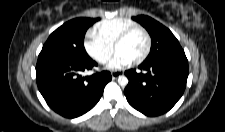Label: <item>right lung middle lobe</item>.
<instances>
[{"label":"right lung middle lobe","mask_w":225,"mask_h":132,"mask_svg":"<svg viewBox=\"0 0 225 132\" xmlns=\"http://www.w3.org/2000/svg\"><path fill=\"white\" fill-rule=\"evenodd\" d=\"M98 20V18H76L64 23L49 36L40 54L76 60L90 58L84 48V36L87 29Z\"/></svg>","instance_id":"1"}]
</instances>
